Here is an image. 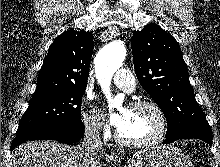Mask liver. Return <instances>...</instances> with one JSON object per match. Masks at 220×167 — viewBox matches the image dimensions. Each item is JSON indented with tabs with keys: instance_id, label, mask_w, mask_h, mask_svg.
<instances>
[{
	"instance_id": "liver-1",
	"label": "liver",
	"mask_w": 220,
	"mask_h": 167,
	"mask_svg": "<svg viewBox=\"0 0 220 167\" xmlns=\"http://www.w3.org/2000/svg\"><path fill=\"white\" fill-rule=\"evenodd\" d=\"M101 153L52 141L26 142L12 153L9 167H102Z\"/></svg>"
}]
</instances>
